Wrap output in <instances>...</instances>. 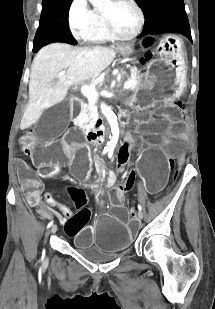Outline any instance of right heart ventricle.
Instances as JSON below:
<instances>
[{
  "label": "right heart ventricle",
  "mask_w": 215,
  "mask_h": 309,
  "mask_svg": "<svg viewBox=\"0 0 215 309\" xmlns=\"http://www.w3.org/2000/svg\"><path fill=\"white\" fill-rule=\"evenodd\" d=\"M86 34H90L93 42H105L107 38L104 27H86Z\"/></svg>",
  "instance_id": "right-heart-ventricle-1"
}]
</instances>
